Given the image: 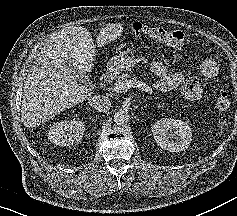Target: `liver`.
I'll return each instance as SVG.
<instances>
[{
	"instance_id": "6515ba94",
	"label": "liver",
	"mask_w": 237,
	"mask_h": 216,
	"mask_svg": "<svg viewBox=\"0 0 237 216\" xmlns=\"http://www.w3.org/2000/svg\"><path fill=\"white\" fill-rule=\"evenodd\" d=\"M94 53L92 36L84 26L68 27L44 43L39 64L24 82L22 116L26 126L46 122L92 95L78 79L92 71Z\"/></svg>"
}]
</instances>
